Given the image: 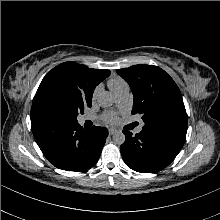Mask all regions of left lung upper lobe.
Instances as JSON below:
<instances>
[{
  "instance_id": "5c2ea615",
  "label": "left lung upper lobe",
  "mask_w": 220,
  "mask_h": 220,
  "mask_svg": "<svg viewBox=\"0 0 220 220\" xmlns=\"http://www.w3.org/2000/svg\"><path fill=\"white\" fill-rule=\"evenodd\" d=\"M117 73L134 95L132 114L145 123L142 132L182 148L187 133V114L182 95L173 79L153 65H133Z\"/></svg>"
}]
</instances>
